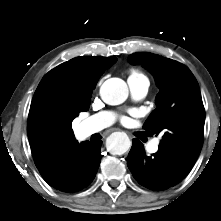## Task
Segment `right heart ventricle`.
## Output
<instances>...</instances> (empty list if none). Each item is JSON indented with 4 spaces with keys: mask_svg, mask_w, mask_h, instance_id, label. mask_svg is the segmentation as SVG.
Masks as SVG:
<instances>
[{
    "mask_svg": "<svg viewBox=\"0 0 221 221\" xmlns=\"http://www.w3.org/2000/svg\"><path fill=\"white\" fill-rule=\"evenodd\" d=\"M139 76H144V75L136 69L131 70L130 77H139Z\"/></svg>",
    "mask_w": 221,
    "mask_h": 221,
    "instance_id": "e07e8e85",
    "label": "right heart ventricle"
}]
</instances>
